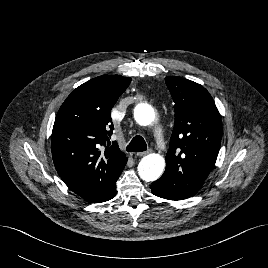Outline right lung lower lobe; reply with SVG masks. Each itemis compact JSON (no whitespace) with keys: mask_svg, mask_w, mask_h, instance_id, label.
Here are the masks:
<instances>
[{"mask_svg":"<svg viewBox=\"0 0 268 268\" xmlns=\"http://www.w3.org/2000/svg\"><path fill=\"white\" fill-rule=\"evenodd\" d=\"M115 195H116V182L112 186V188L110 189V191L108 192V194L105 197H103L100 202L108 201V200L112 199ZM100 202H98V203H100Z\"/></svg>","mask_w":268,"mask_h":268,"instance_id":"1","label":"right lung lower lobe"}]
</instances>
